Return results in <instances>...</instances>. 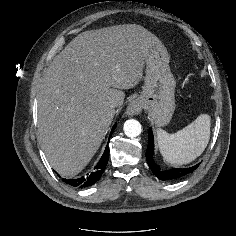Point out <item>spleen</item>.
I'll list each match as a JSON object with an SVG mask.
<instances>
[{
    "label": "spleen",
    "instance_id": "obj_1",
    "mask_svg": "<svg viewBox=\"0 0 236 236\" xmlns=\"http://www.w3.org/2000/svg\"><path fill=\"white\" fill-rule=\"evenodd\" d=\"M211 118L199 115L191 124L174 134L157 129V140L163 158L172 164H187L205 150L210 138Z\"/></svg>",
    "mask_w": 236,
    "mask_h": 236
}]
</instances>
